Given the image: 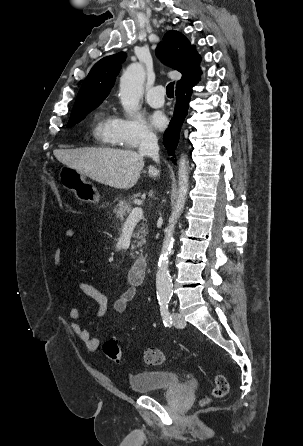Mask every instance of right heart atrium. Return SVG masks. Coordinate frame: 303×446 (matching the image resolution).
Segmentation results:
<instances>
[{
    "mask_svg": "<svg viewBox=\"0 0 303 446\" xmlns=\"http://www.w3.org/2000/svg\"><path fill=\"white\" fill-rule=\"evenodd\" d=\"M115 137L118 144L126 148H137L156 141V134L139 115L117 117Z\"/></svg>",
    "mask_w": 303,
    "mask_h": 446,
    "instance_id": "d8ad5b80",
    "label": "right heart atrium"
}]
</instances>
